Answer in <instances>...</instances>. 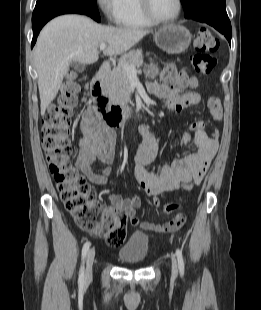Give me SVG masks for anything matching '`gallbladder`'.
<instances>
[{"label": "gallbladder", "mask_w": 261, "mask_h": 310, "mask_svg": "<svg viewBox=\"0 0 261 310\" xmlns=\"http://www.w3.org/2000/svg\"><path fill=\"white\" fill-rule=\"evenodd\" d=\"M72 66L79 71L84 70V65L79 62L73 61Z\"/></svg>", "instance_id": "obj_1"}]
</instances>
